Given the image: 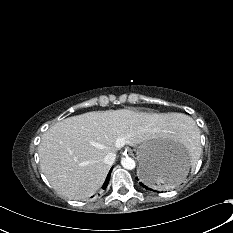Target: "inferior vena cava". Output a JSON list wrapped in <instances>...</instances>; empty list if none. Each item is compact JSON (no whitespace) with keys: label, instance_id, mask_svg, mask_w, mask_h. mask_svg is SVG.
<instances>
[{"label":"inferior vena cava","instance_id":"602c4592","mask_svg":"<svg viewBox=\"0 0 233 233\" xmlns=\"http://www.w3.org/2000/svg\"><path fill=\"white\" fill-rule=\"evenodd\" d=\"M116 159V154L115 153H108L104 159L103 162L109 166L113 165L114 161Z\"/></svg>","mask_w":233,"mask_h":233}]
</instances>
